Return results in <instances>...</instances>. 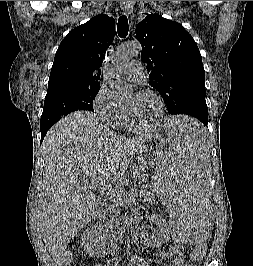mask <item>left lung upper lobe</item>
I'll return each instance as SVG.
<instances>
[{
	"mask_svg": "<svg viewBox=\"0 0 253 266\" xmlns=\"http://www.w3.org/2000/svg\"><path fill=\"white\" fill-rule=\"evenodd\" d=\"M136 36L149 84L162 95L168 113L189 115L207 125L205 71L193 37L181 24L158 14L146 16Z\"/></svg>",
	"mask_w": 253,
	"mask_h": 266,
	"instance_id": "left-lung-upper-lobe-1",
	"label": "left lung upper lobe"
}]
</instances>
